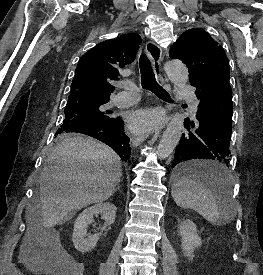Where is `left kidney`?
<instances>
[{
    "label": "left kidney",
    "instance_id": "obj_1",
    "mask_svg": "<svg viewBox=\"0 0 263 275\" xmlns=\"http://www.w3.org/2000/svg\"><path fill=\"white\" fill-rule=\"evenodd\" d=\"M178 233L182 238L181 246L184 255L193 259L195 248L200 247L202 244L196 225L191 220H184L178 228Z\"/></svg>",
    "mask_w": 263,
    "mask_h": 275
}]
</instances>
